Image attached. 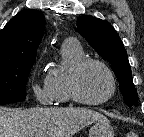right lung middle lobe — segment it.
Masks as SVG:
<instances>
[{
    "instance_id": "obj_1",
    "label": "right lung middle lobe",
    "mask_w": 144,
    "mask_h": 137,
    "mask_svg": "<svg viewBox=\"0 0 144 137\" xmlns=\"http://www.w3.org/2000/svg\"><path fill=\"white\" fill-rule=\"evenodd\" d=\"M35 59L0 63V105L23 101L26 81Z\"/></svg>"
}]
</instances>
